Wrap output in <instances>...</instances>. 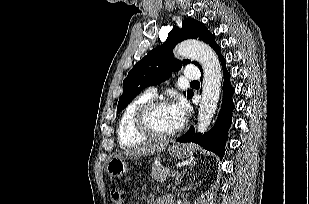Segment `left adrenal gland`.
Segmentation results:
<instances>
[{
    "instance_id": "left-adrenal-gland-1",
    "label": "left adrenal gland",
    "mask_w": 309,
    "mask_h": 204,
    "mask_svg": "<svg viewBox=\"0 0 309 204\" xmlns=\"http://www.w3.org/2000/svg\"><path fill=\"white\" fill-rule=\"evenodd\" d=\"M185 172H186V170H184L182 173H180L176 176V180H175L176 185L181 184V179L184 176Z\"/></svg>"
}]
</instances>
